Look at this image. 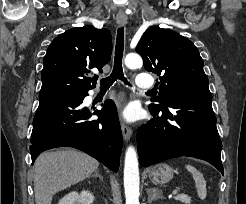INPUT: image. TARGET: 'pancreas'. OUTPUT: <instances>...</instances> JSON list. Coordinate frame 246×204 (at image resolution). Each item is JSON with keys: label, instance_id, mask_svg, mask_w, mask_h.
I'll use <instances>...</instances> for the list:
<instances>
[{"label": "pancreas", "instance_id": "pancreas-1", "mask_svg": "<svg viewBox=\"0 0 246 204\" xmlns=\"http://www.w3.org/2000/svg\"><path fill=\"white\" fill-rule=\"evenodd\" d=\"M175 199L178 200V201H181V202H183V203H188V204L191 202V198L188 197V196L185 195V194L177 195V196L175 197Z\"/></svg>", "mask_w": 246, "mask_h": 204}]
</instances>
